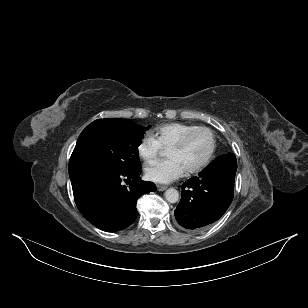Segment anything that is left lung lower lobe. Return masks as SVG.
<instances>
[{
  "label": "left lung lower lobe",
  "mask_w": 308,
  "mask_h": 308,
  "mask_svg": "<svg viewBox=\"0 0 308 308\" xmlns=\"http://www.w3.org/2000/svg\"><path fill=\"white\" fill-rule=\"evenodd\" d=\"M237 161L234 154L219 156L199 176L182 185L174 215L185 229L198 231L218 220L230 206Z\"/></svg>",
  "instance_id": "left-lung-lower-lobe-1"
}]
</instances>
